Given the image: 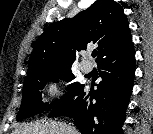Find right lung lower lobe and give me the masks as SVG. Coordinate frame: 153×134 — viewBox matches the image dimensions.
I'll list each match as a JSON object with an SVG mask.
<instances>
[{
    "instance_id": "1",
    "label": "right lung lower lobe",
    "mask_w": 153,
    "mask_h": 134,
    "mask_svg": "<svg viewBox=\"0 0 153 134\" xmlns=\"http://www.w3.org/2000/svg\"><path fill=\"white\" fill-rule=\"evenodd\" d=\"M97 63L102 78L97 90L86 93L83 86L48 116L73 117L82 134H122L134 81L133 42L106 54Z\"/></svg>"
}]
</instances>
